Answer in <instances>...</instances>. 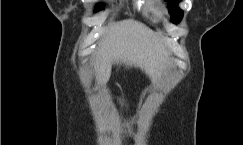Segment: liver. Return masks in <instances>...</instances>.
<instances>
[{
  "label": "liver",
  "mask_w": 243,
  "mask_h": 145,
  "mask_svg": "<svg viewBox=\"0 0 243 145\" xmlns=\"http://www.w3.org/2000/svg\"><path fill=\"white\" fill-rule=\"evenodd\" d=\"M94 59L102 85L110 78L112 64L138 67L154 80L171 61L156 33L134 20L115 24L103 37Z\"/></svg>",
  "instance_id": "6515ba94"
}]
</instances>
